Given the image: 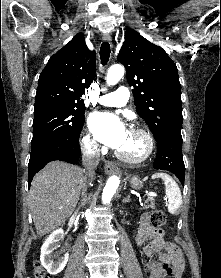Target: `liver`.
<instances>
[{
    "label": "liver",
    "mask_w": 221,
    "mask_h": 278,
    "mask_svg": "<svg viewBox=\"0 0 221 278\" xmlns=\"http://www.w3.org/2000/svg\"><path fill=\"white\" fill-rule=\"evenodd\" d=\"M84 184V171L62 161L50 162L34 176L29 204L39 236L58 228L72 215Z\"/></svg>",
    "instance_id": "liver-1"
}]
</instances>
